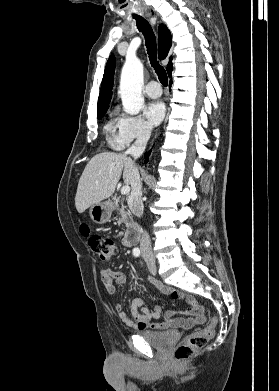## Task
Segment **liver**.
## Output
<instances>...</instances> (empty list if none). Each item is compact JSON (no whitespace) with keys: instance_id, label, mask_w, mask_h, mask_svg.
<instances>
[{"instance_id":"6515ba94","label":"liver","mask_w":279,"mask_h":391,"mask_svg":"<svg viewBox=\"0 0 279 391\" xmlns=\"http://www.w3.org/2000/svg\"><path fill=\"white\" fill-rule=\"evenodd\" d=\"M133 161L124 154L103 152L95 155L86 165L77 187L75 206L79 213L115 191L123 171L126 185L131 183Z\"/></svg>"}]
</instances>
